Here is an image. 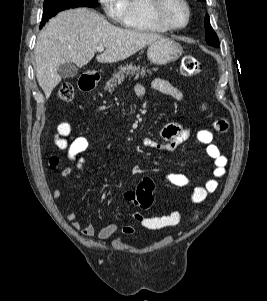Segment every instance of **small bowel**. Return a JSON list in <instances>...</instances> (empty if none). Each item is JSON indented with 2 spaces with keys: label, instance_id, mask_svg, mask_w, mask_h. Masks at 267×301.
<instances>
[{
  "label": "small bowel",
  "instance_id": "1",
  "mask_svg": "<svg viewBox=\"0 0 267 301\" xmlns=\"http://www.w3.org/2000/svg\"><path fill=\"white\" fill-rule=\"evenodd\" d=\"M151 87L177 101H181L183 99L182 91L166 79L156 78L152 80ZM134 89L138 96H143L146 93V86L143 83L136 84ZM71 133V124L68 122H60L56 127L54 143L59 149L66 150L68 159L73 161L76 169L83 173L86 167V160L82 154L89 146V139L85 136H79L69 142L68 137ZM190 135L191 129L189 127H185L177 122H171L166 124L160 130L159 139L145 138L143 140V144L156 150L173 152L177 147L187 141ZM196 139L200 144L205 145L207 156L213 160L214 165V178L207 180L203 186L195 187L191 193V202L201 203L208 197V195L217 190V179L226 175L227 157L221 153L219 147L214 143V133L211 129L205 128L198 131L196 133ZM72 172V168L65 167L61 170V175L63 177H69ZM164 177L172 185L177 187H184L190 184V179L182 173H166ZM53 197L56 200H60L63 197V191L61 189H55L53 191ZM122 199L124 201L137 204L134 191L123 192ZM64 214L74 229L80 231L86 237L94 236L95 227L92 224H84L80 222L78 220V215L75 212L65 211ZM132 217L135 221L141 223L148 229H161L176 226L183 218L182 213L178 211L154 218H144L140 213H134ZM117 229V223L115 221L110 222L99 230L98 238L100 240H106L111 237ZM121 231L124 234H130L134 231V228L131 225H126L122 227Z\"/></svg>",
  "mask_w": 267,
  "mask_h": 301
}]
</instances>
